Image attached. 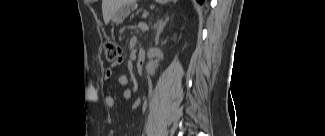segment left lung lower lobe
I'll list each match as a JSON object with an SVG mask.
<instances>
[{"label":"left lung lower lobe","mask_w":325,"mask_h":136,"mask_svg":"<svg viewBox=\"0 0 325 136\" xmlns=\"http://www.w3.org/2000/svg\"><path fill=\"white\" fill-rule=\"evenodd\" d=\"M199 2H203V0H198Z\"/></svg>","instance_id":"left-lung-lower-lobe-1"}]
</instances>
